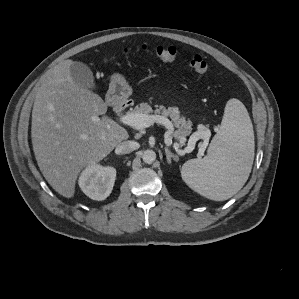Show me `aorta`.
<instances>
[{"instance_id": "obj_1", "label": "aorta", "mask_w": 299, "mask_h": 299, "mask_svg": "<svg viewBox=\"0 0 299 299\" xmlns=\"http://www.w3.org/2000/svg\"><path fill=\"white\" fill-rule=\"evenodd\" d=\"M142 159L145 163H152L156 159V153L153 150L147 149L142 153Z\"/></svg>"}]
</instances>
